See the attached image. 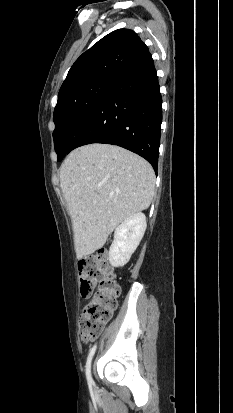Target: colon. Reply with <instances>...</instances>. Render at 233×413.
I'll return each instance as SVG.
<instances>
[{
    "label": "colon",
    "mask_w": 233,
    "mask_h": 413,
    "mask_svg": "<svg viewBox=\"0 0 233 413\" xmlns=\"http://www.w3.org/2000/svg\"><path fill=\"white\" fill-rule=\"evenodd\" d=\"M80 292L83 297L92 295L80 318L79 332L83 341L96 338L111 319L117 307L120 286L108 265L105 251L82 259L78 265Z\"/></svg>",
    "instance_id": "1"
}]
</instances>
